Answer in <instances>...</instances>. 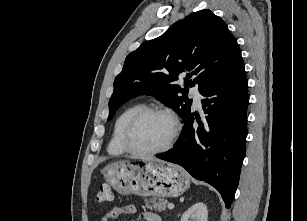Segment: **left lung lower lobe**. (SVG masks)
<instances>
[{
    "label": "left lung lower lobe",
    "instance_id": "obj_1",
    "mask_svg": "<svg viewBox=\"0 0 307 221\" xmlns=\"http://www.w3.org/2000/svg\"><path fill=\"white\" fill-rule=\"evenodd\" d=\"M202 96L206 120H198L195 130L191 114L175 147L157 158L178 164L215 187L229 208L239 183L247 136L249 99L241 53Z\"/></svg>",
    "mask_w": 307,
    "mask_h": 221
}]
</instances>
